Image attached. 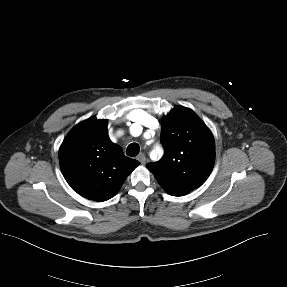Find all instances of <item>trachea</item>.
Instances as JSON below:
<instances>
[{
  "instance_id": "3493384b",
  "label": "trachea",
  "mask_w": 287,
  "mask_h": 287,
  "mask_svg": "<svg viewBox=\"0 0 287 287\" xmlns=\"http://www.w3.org/2000/svg\"><path fill=\"white\" fill-rule=\"evenodd\" d=\"M140 147L137 143H131L126 149V154L130 157H135L139 154Z\"/></svg>"
}]
</instances>
